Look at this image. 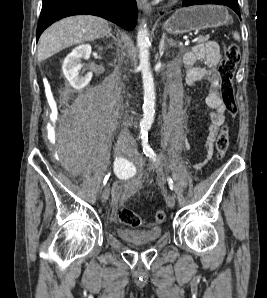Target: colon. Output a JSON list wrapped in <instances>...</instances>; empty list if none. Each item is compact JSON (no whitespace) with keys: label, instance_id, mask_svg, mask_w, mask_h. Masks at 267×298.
I'll return each instance as SVG.
<instances>
[{"label":"colon","instance_id":"colon-1","mask_svg":"<svg viewBox=\"0 0 267 298\" xmlns=\"http://www.w3.org/2000/svg\"><path fill=\"white\" fill-rule=\"evenodd\" d=\"M240 60V49L237 45L231 44L225 48L224 58L219 68L221 78V97L227 110L234 114L236 112L235 90L233 85L234 75ZM229 147V131L224 125L216 140V153L218 159H222ZM166 213L164 210H157L155 219L158 222L164 221ZM120 221L131 227H139L144 224L143 218L129 208H122L119 212Z\"/></svg>","mask_w":267,"mask_h":298}]
</instances>
